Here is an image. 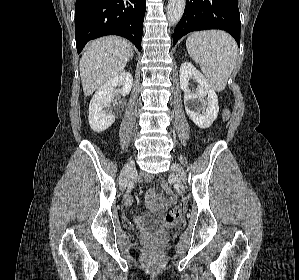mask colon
I'll list each match as a JSON object with an SVG mask.
<instances>
[{"instance_id":"colon-1","label":"colon","mask_w":299,"mask_h":280,"mask_svg":"<svg viewBox=\"0 0 299 280\" xmlns=\"http://www.w3.org/2000/svg\"><path fill=\"white\" fill-rule=\"evenodd\" d=\"M182 215V209L178 206L171 208L168 213L165 216V220L168 223H174L177 220H179V218Z\"/></svg>"}]
</instances>
